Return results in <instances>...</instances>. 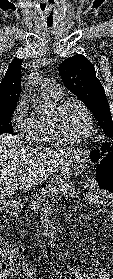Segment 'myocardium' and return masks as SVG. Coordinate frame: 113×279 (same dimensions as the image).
Instances as JSON below:
<instances>
[{"label": "myocardium", "instance_id": "1", "mask_svg": "<svg viewBox=\"0 0 113 279\" xmlns=\"http://www.w3.org/2000/svg\"><path fill=\"white\" fill-rule=\"evenodd\" d=\"M69 104H76L78 105L83 112L85 113L87 120H88V129L86 133L80 137H69L65 136L59 129L57 125V118L62 110ZM48 123L53 134L54 139L60 143H67V144H79L86 140H88L93 132H94V117L89 110V108L79 99L76 98H66L59 101L51 110L48 116Z\"/></svg>", "mask_w": 113, "mask_h": 279}]
</instances>
